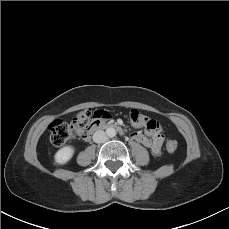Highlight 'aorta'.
<instances>
[{
  "label": "aorta",
  "mask_w": 229,
  "mask_h": 229,
  "mask_svg": "<svg viewBox=\"0 0 229 229\" xmlns=\"http://www.w3.org/2000/svg\"><path fill=\"white\" fill-rule=\"evenodd\" d=\"M106 134L108 137L112 138L116 135V130L112 127L106 129Z\"/></svg>",
  "instance_id": "762f6f07"
}]
</instances>
